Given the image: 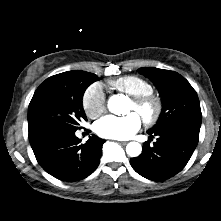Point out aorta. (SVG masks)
I'll use <instances>...</instances> for the list:
<instances>
[{
  "label": "aorta",
  "instance_id": "obj_1",
  "mask_svg": "<svg viewBox=\"0 0 221 221\" xmlns=\"http://www.w3.org/2000/svg\"><path fill=\"white\" fill-rule=\"evenodd\" d=\"M122 101V97L119 95L112 96L108 101V108L111 112L117 113L118 104ZM142 147L138 142H129L126 146V152L131 157H137L141 154Z\"/></svg>",
  "mask_w": 221,
  "mask_h": 221
}]
</instances>
